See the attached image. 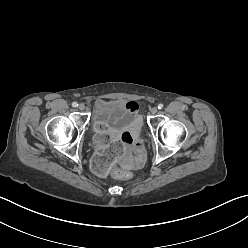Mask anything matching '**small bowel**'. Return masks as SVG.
Wrapping results in <instances>:
<instances>
[{
  "label": "small bowel",
  "mask_w": 248,
  "mask_h": 248,
  "mask_svg": "<svg viewBox=\"0 0 248 248\" xmlns=\"http://www.w3.org/2000/svg\"><path fill=\"white\" fill-rule=\"evenodd\" d=\"M127 103L131 111L135 114V120L130 125L129 130L124 131L120 137L123 147L119 152V159L122 165L127 168H138L145 158V148L139 139V106L135 101H128ZM124 133L127 134V136H123Z\"/></svg>",
  "instance_id": "c3829d8e"
}]
</instances>
